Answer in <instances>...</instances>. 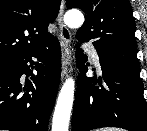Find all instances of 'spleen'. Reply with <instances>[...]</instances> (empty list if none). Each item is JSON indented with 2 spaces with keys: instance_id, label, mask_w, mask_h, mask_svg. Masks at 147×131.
I'll return each mask as SVG.
<instances>
[{
  "instance_id": "obj_1",
  "label": "spleen",
  "mask_w": 147,
  "mask_h": 131,
  "mask_svg": "<svg viewBox=\"0 0 147 131\" xmlns=\"http://www.w3.org/2000/svg\"><path fill=\"white\" fill-rule=\"evenodd\" d=\"M100 131H123V130L118 128H105V129H101Z\"/></svg>"
}]
</instances>
